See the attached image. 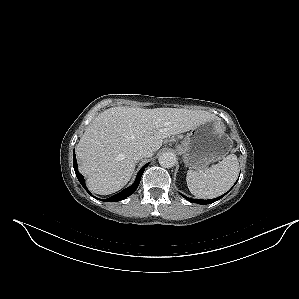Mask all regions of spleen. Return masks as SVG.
Returning <instances> with one entry per match:
<instances>
[{
    "instance_id": "spleen-1",
    "label": "spleen",
    "mask_w": 299,
    "mask_h": 299,
    "mask_svg": "<svg viewBox=\"0 0 299 299\" xmlns=\"http://www.w3.org/2000/svg\"><path fill=\"white\" fill-rule=\"evenodd\" d=\"M239 174L235 154H230L218 164L204 170H189L186 181L189 191L198 198L211 199L228 191Z\"/></svg>"
}]
</instances>
